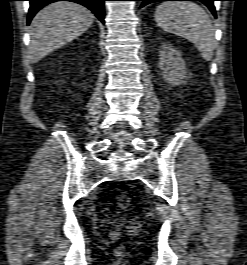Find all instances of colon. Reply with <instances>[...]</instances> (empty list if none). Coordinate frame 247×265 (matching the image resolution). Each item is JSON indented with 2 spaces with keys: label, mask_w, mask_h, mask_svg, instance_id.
I'll use <instances>...</instances> for the list:
<instances>
[{
  "label": "colon",
  "mask_w": 247,
  "mask_h": 265,
  "mask_svg": "<svg viewBox=\"0 0 247 265\" xmlns=\"http://www.w3.org/2000/svg\"><path fill=\"white\" fill-rule=\"evenodd\" d=\"M116 203L120 209H127L131 205L130 195L126 192L119 193L116 197ZM116 251L117 253L122 254L125 251V247L123 245H119L117 246Z\"/></svg>",
  "instance_id": "1"
}]
</instances>
